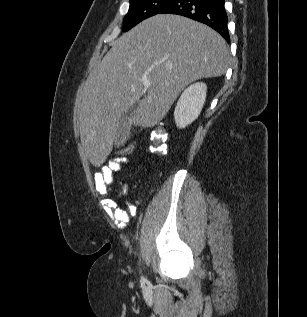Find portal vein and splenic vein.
I'll return each instance as SVG.
<instances>
[{"label":"portal vein and splenic vein","mask_w":307,"mask_h":317,"mask_svg":"<svg viewBox=\"0 0 307 317\" xmlns=\"http://www.w3.org/2000/svg\"><path fill=\"white\" fill-rule=\"evenodd\" d=\"M143 85H144V88L147 89V88H149L151 86V83L146 80V81L143 82Z\"/></svg>","instance_id":"18ae733b"}]
</instances>
